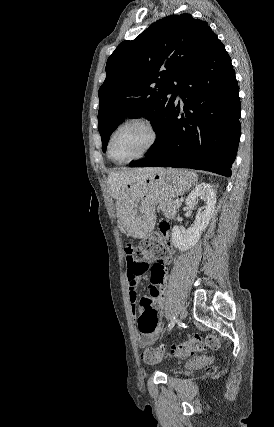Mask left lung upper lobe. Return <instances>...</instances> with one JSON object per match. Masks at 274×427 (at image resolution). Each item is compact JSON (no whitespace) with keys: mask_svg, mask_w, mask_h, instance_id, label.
Listing matches in <instances>:
<instances>
[{"mask_svg":"<svg viewBox=\"0 0 274 427\" xmlns=\"http://www.w3.org/2000/svg\"><path fill=\"white\" fill-rule=\"evenodd\" d=\"M215 36L205 21L190 14L170 15L118 45L107 60V76L98 92L103 151L127 116H146L158 137L181 79Z\"/></svg>","mask_w":274,"mask_h":427,"instance_id":"obj_1","label":"left lung upper lobe"}]
</instances>
